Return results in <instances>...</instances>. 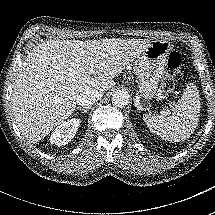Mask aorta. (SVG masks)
<instances>
[{"label": "aorta", "instance_id": "obj_1", "mask_svg": "<svg viewBox=\"0 0 215 215\" xmlns=\"http://www.w3.org/2000/svg\"><path fill=\"white\" fill-rule=\"evenodd\" d=\"M111 102L115 107H125L130 102L129 94L125 91H116L112 95Z\"/></svg>", "mask_w": 215, "mask_h": 215}]
</instances>
